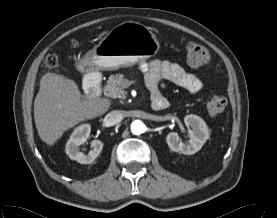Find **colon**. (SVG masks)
Returning a JSON list of instances; mask_svg holds the SVG:
<instances>
[{
  "label": "colon",
  "mask_w": 277,
  "mask_h": 218,
  "mask_svg": "<svg viewBox=\"0 0 277 218\" xmlns=\"http://www.w3.org/2000/svg\"><path fill=\"white\" fill-rule=\"evenodd\" d=\"M186 59L192 66H202L209 60L208 50L198 43L190 42L186 47ZM46 66L55 69L58 66V57L51 53L45 59ZM227 106V99L223 95H213L207 99L206 107L210 115L221 114Z\"/></svg>",
  "instance_id": "obj_1"
}]
</instances>
